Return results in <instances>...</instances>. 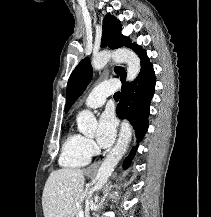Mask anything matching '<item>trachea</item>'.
Returning a JSON list of instances; mask_svg holds the SVG:
<instances>
[{
    "label": "trachea",
    "mask_w": 211,
    "mask_h": 217,
    "mask_svg": "<svg viewBox=\"0 0 211 217\" xmlns=\"http://www.w3.org/2000/svg\"><path fill=\"white\" fill-rule=\"evenodd\" d=\"M120 97V92H116L115 94H114V98H119Z\"/></svg>",
    "instance_id": "1"
}]
</instances>
